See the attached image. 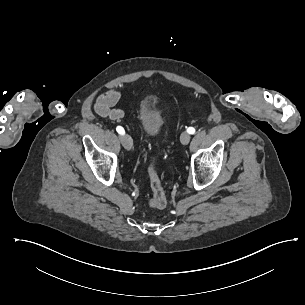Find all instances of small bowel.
Wrapping results in <instances>:
<instances>
[{
    "label": "small bowel",
    "instance_id": "obj_1",
    "mask_svg": "<svg viewBox=\"0 0 305 305\" xmlns=\"http://www.w3.org/2000/svg\"><path fill=\"white\" fill-rule=\"evenodd\" d=\"M121 94L118 90L112 89L100 94L94 104V111L101 117L111 120H120L124 117V110L114 108L120 100Z\"/></svg>",
    "mask_w": 305,
    "mask_h": 305
}]
</instances>
